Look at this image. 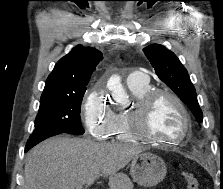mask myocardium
I'll use <instances>...</instances> for the list:
<instances>
[{"label":"myocardium","mask_w":223,"mask_h":189,"mask_svg":"<svg viewBox=\"0 0 223 189\" xmlns=\"http://www.w3.org/2000/svg\"><path fill=\"white\" fill-rule=\"evenodd\" d=\"M161 97L170 98L182 114L183 129L180 136L176 139L166 140L157 138L145 131V120L148 113L153 104ZM128 120L131 133L136 139L162 146H177L187 138L191 131V118L187 107L175 93L165 89L151 90L141 98L137 99L133 108L129 111Z\"/></svg>","instance_id":"1"}]
</instances>
